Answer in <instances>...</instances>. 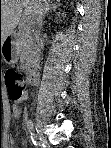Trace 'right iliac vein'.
<instances>
[{
    "instance_id": "obj_1",
    "label": "right iliac vein",
    "mask_w": 111,
    "mask_h": 148,
    "mask_svg": "<svg viewBox=\"0 0 111 148\" xmlns=\"http://www.w3.org/2000/svg\"><path fill=\"white\" fill-rule=\"evenodd\" d=\"M36 130H37V135H36V137H37V139L39 140V142H40V143H42V142L45 143V137H44V135H43V133H42V130H41V123H40L38 117H36Z\"/></svg>"
}]
</instances>
